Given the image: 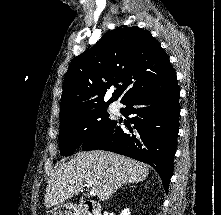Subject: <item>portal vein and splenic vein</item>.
Listing matches in <instances>:
<instances>
[{
    "label": "portal vein and splenic vein",
    "mask_w": 221,
    "mask_h": 215,
    "mask_svg": "<svg viewBox=\"0 0 221 215\" xmlns=\"http://www.w3.org/2000/svg\"><path fill=\"white\" fill-rule=\"evenodd\" d=\"M87 187H90V185H87ZM89 193H90L91 196H95L97 194V190L92 188Z\"/></svg>",
    "instance_id": "1"
}]
</instances>
